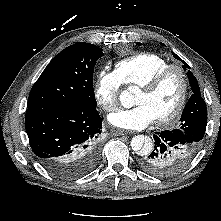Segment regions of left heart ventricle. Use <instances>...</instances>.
Instances as JSON below:
<instances>
[{"label":"left heart ventricle","instance_id":"left-heart-ventricle-1","mask_svg":"<svg viewBox=\"0 0 221 221\" xmlns=\"http://www.w3.org/2000/svg\"><path fill=\"white\" fill-rule=\"evenodd\" d=\"M181 94V79L177 72H171L152 93L139 90L134 98L135 105H145L155 119L168 114L177 104Z\"/></svg>","mask_w":221,"mask_h":221}]
</instances>
